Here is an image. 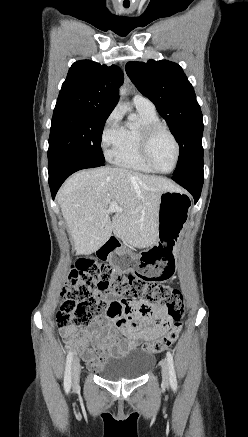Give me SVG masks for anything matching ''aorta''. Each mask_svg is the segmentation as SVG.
Segmentation results:
<instances>
[{
    "mask_svg": "<svg viewBox=\"0 0 248 437\" xmlns=\"http://www.w3.org/2000/svg\"><path fill=\"white\" fill-rule=\"evenodd\" d=\"M119 94H120V97H121V98L126 94V89H125L124 86L120 88V90H119ZM135 118H136V116H135L134 114H131V115H129V117H128L129 120H134Z\"/></svg>",
    "mask_w": 248,
    "mask_h": 437,
    "instance_id": "aorta-1",
    "label": "aorta"
}]
</instances>
